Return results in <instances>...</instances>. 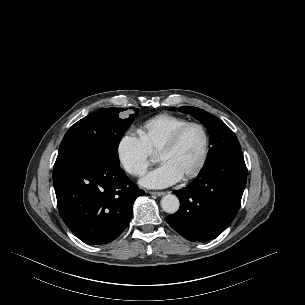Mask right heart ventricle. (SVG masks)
<instances>
[{
	"label": "right heart ventricle",
	"mask_w": 305,
	"mask_h": 305,
	"mask_svg": "<svg viewBox=\"0 0 305 305\" xmlns=\"http://www.w3.org/2000/svg\"><path fill=\"white\" fill-rule=\"evenodd\" d=\"M190 122L185 117L161 114L146 120L139 128L138 134L151 153H158L159 149L183 125Z\"/></svg>",
	"instance_id": "obj_1"
}]
</instances>
